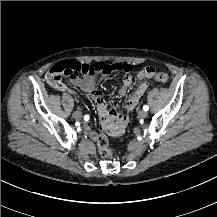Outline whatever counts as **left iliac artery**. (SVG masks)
Returning a JSON list of instances; mask_svg holds the SVG:
<instances>
[{
	"instance_id": "1",
	"label": "left iliac artery",
	"mask_w": 217,
	"mask_h": 217,
	"mask_svg": "<svg viewBox=\"0 0 217 217\" xmlns=\"http://www.w3.org/2000/svg\"><path fill=\"white\" fill-rule=\"evenodd\" d=\"M149 107L147 105L143 106V110L148 111Z\"/></svg>"
}]
</instances>
